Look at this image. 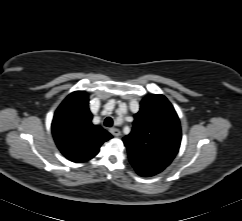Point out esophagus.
Masks as SVG:
<instances>
[{
  "label": "esophagus",
  "instance_id": "obj_1",
  "mask_svg": "<svg viewBox=\"0 0 242 221\" xmlns=\"http://www.w3.org/2000/svg\"><path fill=\"white\" fill-rule=\"evenodd\" d=\"M110 132H111V134H113L116 137L120 136V134H121V131L118 128H111Z\"/></svg>",
  "mask_w": 242,
  "mask_h": 221
}]
</instances>
